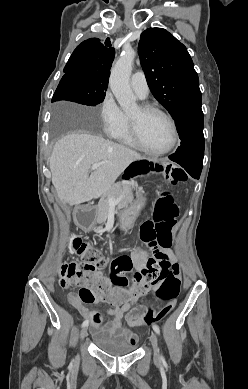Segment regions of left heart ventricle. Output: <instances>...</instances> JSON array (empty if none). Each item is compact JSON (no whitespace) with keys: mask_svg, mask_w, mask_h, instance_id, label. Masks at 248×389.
Segmentation results:
<instances>
[{"mask_svg":"<svg viewBox=\"0 0 248 389\" xmlns=\"http://www.w3.org/2000/svg\"><path fill=\"white\" fill-rule=\"evenodd\" d=\"M129 115L137 119L140 136L147 147L161 150L171 143V126L162 115L156 112L142 113L139 106Z\"/></svg>","mask_w":248,"mask_h":389,"instance_id":"b2bd125f","label":"left heart ventricle"}]
</instances>
